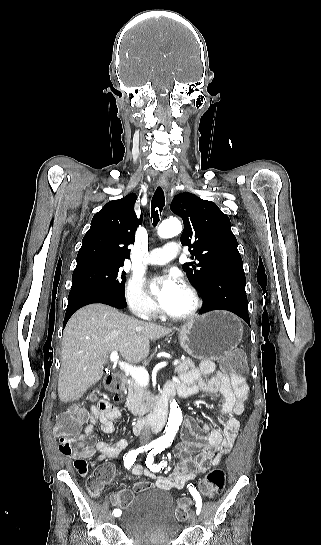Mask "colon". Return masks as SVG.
Segmentation results:
<instances>
[{"label": "colon", "mask_w": 321, "mask_h": 545, "mask_svg": "<svg viewBox=\"0 0 321 545\" xmlns=\"http://www.w3.org/2000/svg\"><path fill=\"white\" fill-rule=\"evenodd\" d=\"M222 370L229 374L230 377L244 378L246 366L241 354L234 353L225 357L221 361ZM86 411L74 405L67 411L61 413L57 417L55 425V435L59 438V450L64 455H74L77 445L83 441L79 435L82 424L86 419ZM75 468L81 477L85 478V486L91 496L98 497L103 488V479L107 472H95L92 475L87 473L86 464L83 461L75 463ZM226 482V476L221 468H214L207 473L204 479L199 483L200 492L208 497L213 498L220 494ZM151 487L148 482H139L134 487V492H139ZM133 497V492L123 490L113 498V505L118 509L127 507ZM191 500L188 498L180 499L176 507V517L180 521L188 519L190 515Z\"/></svg>", "instance_id": "obj_1"}]
</instances>
